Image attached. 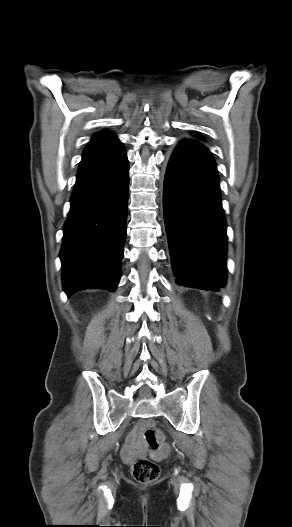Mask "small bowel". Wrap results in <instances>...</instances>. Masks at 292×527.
Segmentation results:
<instances>
[{
    "label": "small bowel",
    "instance_id": "small-bowel-1",
    "mask_svg": "<svg viewBox=\"0 0 292 527\" xmlns=\"http://www.w3.org/2000/svg\"><path fill=\"white\" fill-rule=\"evenodd\" d=\"M147 452L153 456V463L159 465L162 463L163 457L169 453V446L167 443L162 442L157 449H150L143 440L140 427L138 426L129 434L123 447L122 455L126 460H131L133 457H140Z\"/></svg>",
    "mask_w": 292,
    "mask_h": 527
}]
</instances>
